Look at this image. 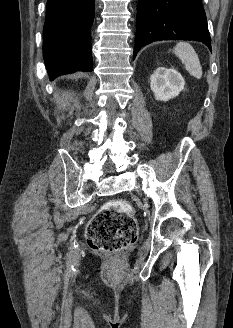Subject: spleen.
<instances>
[{"instance_id":"spleen-1","label":"spleen","mask_w":233,"mask_h":328,"mask_svg":"<svg viewBox=\"0 0 233 328\" xmlns=\"http://www.w3.org/2000/svg\"><path fill=\"white\" fill-rule=\"evenodd\" d=\"M174 54L184 64L185 69L193 77H202V67L194 48L188 42H179L173 49Z\"/></svg>"}]
</instances>
